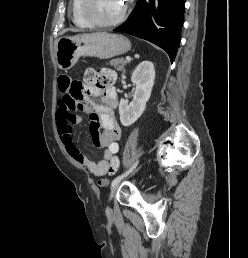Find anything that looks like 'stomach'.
Wrapping results in <instances>:
<instances>
[{"label": "stomach", "instance_id": "0dacf381", "mask_svg": "<svg viewBox=\"0 0 248 258\" xmlns=\"http://www.w3.org/2000/svg\"><path fill=\"white\" fill-rule=\"evenodd\" d=\"M130 41L123 35L111 33L83 34L61 37L55 43L56 63L61 70L71 69L80 57L108 59L128 52Z\"/></svg>", "mask_w": 248, "mask_h": 258}]
</instances>
